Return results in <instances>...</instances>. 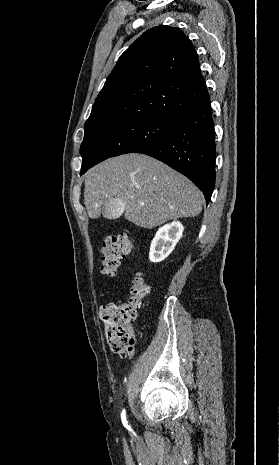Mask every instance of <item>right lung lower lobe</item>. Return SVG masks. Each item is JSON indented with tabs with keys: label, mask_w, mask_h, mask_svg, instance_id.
I'll return each instance as SVG.
<instances>
[{
	"label": "right lung lower lobe",
	"mask_w": 279,
	"mask_h": 465,
	"mask_svg": "<svg viewBox=\"0 0 279 465\" xmlns=\"http://www.w3.org/2000/svg\"><path fill=\"white\" fill-rule=\"evenodd\" d=\"M215 131L210 98L174 119L172 129L139 153L154 157L188 177L208 204L215 184Z\"/></svg>",
	"instance_id": "1"
}]
</instances>
